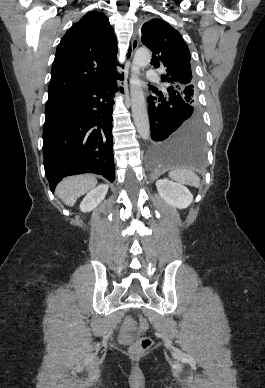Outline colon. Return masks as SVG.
I'll return each mask as SVG.
<instances>
[{
  "label": "colon",
  "instance_id": "5ec220e1",
  "mask_svg": "<svg viewBox=\"0 0 265 388\" xmlns=\"http://www.w3.org/2000/svg\"><path fill=\"white\" fill-rule=\"evenodd\" d=\"M148 328H149L148 321L144 317H141L139 322V330L141 332H146ZM151 345H152V339L147 336H142L136 340V342L132 346V351L142 352L149 349Z\"/></svg>",
  "mask_w": 265,
  "mask_h": 388
}]
</instances>
